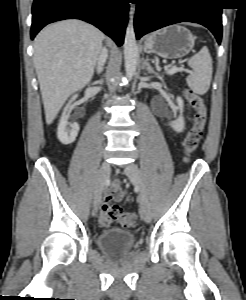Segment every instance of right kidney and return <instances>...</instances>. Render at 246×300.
I'll list each match as a JSON object with an SVG mask.
<instances>
[{
	"label": "right kidney",
	"mask_w": 246,
	"mask_h": 300,
	"mask_svg": "<svg viewBox=\"0 0 246 300\" xmlns=\"http://www.w3.org/2000/svg\"><path fill=\"white\" fill-rule=\"evenodd\" d=\"M76 98H77V95H74L71 98V100L69 101V103L74 101ZM65 111H66V108H65ZM65 111H64V113L60 119V123L58 125L57 138L59 139V141L62 144L68 145L75 141V139L78 135V132H79V125H78V123L70 124L65 117ZM68 125L70 128H68Z\"/></svg>",
	"instance_id": "obj_1"
}]
</instances>
